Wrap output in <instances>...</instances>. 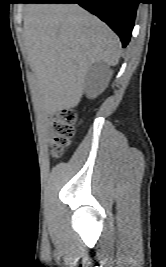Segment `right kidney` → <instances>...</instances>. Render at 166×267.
<instances>
[{
    "label": "right kidney",
    "mask_w": 166,
    "mask_h": 267,
    "mask_svg": "<svg viewBox=\"0 0 166 267\" xmlns=\"http://www.w3.org/2000/svg\"><path fill=\"white\" fill-rule=\"evenodd\" d=\"M87 94L90 97L96 96L99 92H101L100 88V75L99 73H92L89 76L88 82H87Z\"/></svg>",
    "instance_id": "obj_1"
}]
</instances>
